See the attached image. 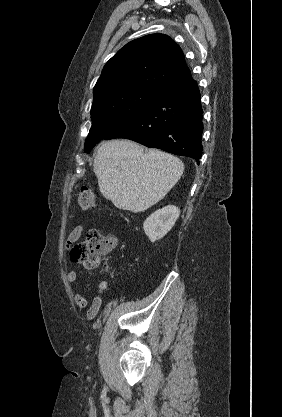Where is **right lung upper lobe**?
I'll return each instance as SVG.
<instances>
[{
    "label": "right lung upper lobe",
    "instance_id": "obj_1",
    "mask_svg": "<svg viewBox=\"0 0 282 417\" xmlns=\"http://www.w3.org/2000/svg\"><path fill=\"white\" fill-rule=\"evenodd\" d=\"M189 76L181 48L167 35L151 34L129 42L106 63L93 94L127 89L159 92Z\"/></svg>",
    "mask_w": 282,
    "mask_h": 417
}]
</instances>
